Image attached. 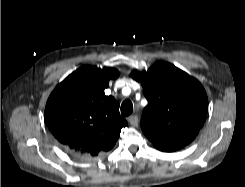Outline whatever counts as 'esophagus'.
<instances>
[{
  "mask_svg": "<svg viewBox=\"0 0 245 187\" xmlns=\"http://www.w3.org/2000/svg\"><path fill=\"white\" fill-rule=\"evenodd\" d=\"M128 122H129L132 126H134V127L138 126V116H136V115H131V116H129V117H128Z\"/></svg>",
  "mask_w": 245,
  "mask_h": 187,
  "instance_id": "34e87169",
  "label": "esophagus"
}]
</instances>
